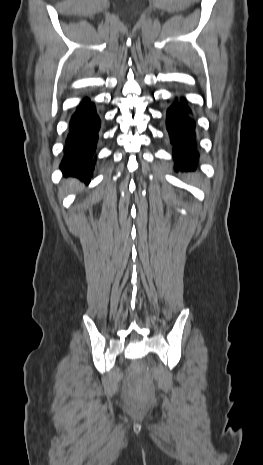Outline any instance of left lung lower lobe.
<instances>
[{
  "instance_id": "left-lung-lower-lobe-1",
  "label": "left lung lower lobe",
  "mask_w": 263,
  "mask_h": 465,
  "mask_svg": "<svg viewBox=\"0 0 263 465\" xmlns=\"http://www.w3.org/2000/svg\"><path fill=\"white\" fill-rule=\"evenodd\" d=\"M190 112L185 99L174 102L167 110L166 125L173 144L175 170H193L197 166L195 121Z\"/></svg>"
}]
</instances>
